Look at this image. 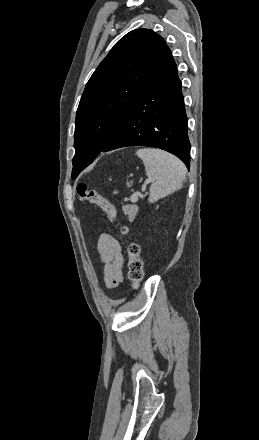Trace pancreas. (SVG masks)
Returning a JSON list of instances; mask_svg holds the SVG:
<instances>
[{"instance_id": "1", "label": "pancreas", "mask_w": 259, "mask_h": 440, "mask_svg": "<svg viewBox=\"0 0 259 440\" xmlns=\"http://www.w3.org/2000/svg\"><path fill=\"white\" fill-rule=\"evenodd\" d=\"M131 199H132V197H130V200ZM122 209H123L124 214L128 216L129 220H133L138 212L137 205H125V206H123Z\"/></svg>"}]
</instances>
